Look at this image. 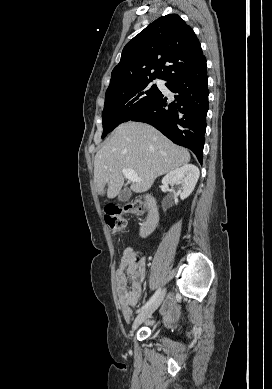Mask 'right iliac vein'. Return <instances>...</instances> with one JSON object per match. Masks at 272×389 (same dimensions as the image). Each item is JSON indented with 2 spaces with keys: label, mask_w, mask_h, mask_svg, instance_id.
<instances>
[{
  "label": "right iliac vein",
  "mask_w": 272,
  "mask_h": 389,
  "mask_svg": "<svg viewBox=\"0 0 272 389\" xmlns=\"http://www.w3.org/2000/svg\"><path fill=\"white\" fill-rule=\"evenodd\" d=\"M165 289L161 292V294L157 297V299L146 309H144L134 320L132 325V331L136 330L137 327L144 322L147 318H149L153 312L160 306L165 296Z\"/></svg>",
  "instance_id": "1"
}]
</instances>
